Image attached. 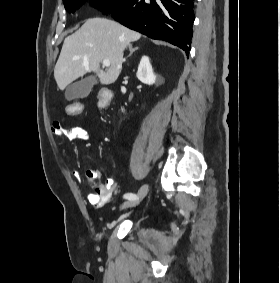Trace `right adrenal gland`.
Listing matches in <instances>:
<instances>
[{
    "mask_svg": "<svg viewBox=\"0 0 280 283\" xmlns=\"http://www.w3.org/2000/svg\"><path fill=\"white\" fill-rule=\"evenodd\" d=\"M138 49H139V47L132 48V46L130 45V46H129L130 54H129L128 57H130V56L133 54V52L136 51V50H138ZM124 61H125V59H124Z\"/></svg>",
    "mask_w": 280,
    "mask_h": 283,
    "instance_id": "obj_1",
    "label": "right adrenal gland"
}]
</instances>
